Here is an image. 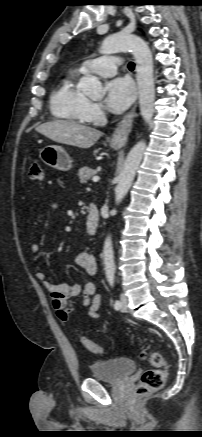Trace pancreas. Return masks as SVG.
Instances as JSON below:
<instances>
[{"label":"pancreas","instance_id":"pancreas-1","mask_svg":"<svg viewBox=\"0 0 202 437\" xmlns=\"http://www.w3.org/2000/svg\"><path fill=\"white\" fill-rule=\"evenodd\" d=\"M97 171L93 168L83 167L79 169L78 176L81 183H86L87 180L95 175Z\"/></svg>","mask_w":202,"mask_h":437}]
</instances>
